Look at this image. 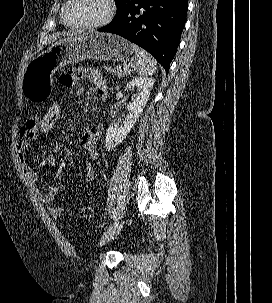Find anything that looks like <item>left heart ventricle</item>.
<instances>
[{"mask_svg": "<svg viewBox=\"0 0 272 303\" xmlns=\"http://www.w3.org/2000/svg\"><path fill=\"white\" fill-rule=\"evenodd\" d=\"M107 12L103 0H73L66 11V18L72 24L96 22Z\"/></svg>", "mask_w": 272, "mask_h": 303, "instance_id": "obj_1", "label": "left heart ventricle"}]
</instances>
